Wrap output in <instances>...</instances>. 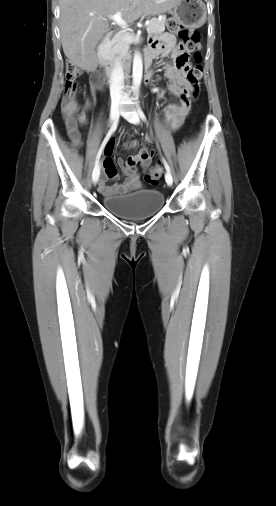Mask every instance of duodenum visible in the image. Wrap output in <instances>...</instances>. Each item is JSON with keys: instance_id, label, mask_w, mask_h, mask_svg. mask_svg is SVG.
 I'll return each instance as SVG.
<instances>
[{"instance_id": "obj_1", "label": "duodenum", "mask_w": 276, "mask_h": 506, "mask_svg": "<svg viewBox=\"0 0 276 506\" xmlns=\"http://www.w3.org/2000/svg\"><path fill=\"white\" fill-rule=\"evenodd\" d=\"M112 37V33H107L102 41V47L104 48L110 41ZM144 62H145V65H146V72H145V78H149L150 77V74H149V69H148V64L150 62V59H149V56L147 54H144ZM101 66L104 68V70L106 71L107 75L108 76H112L115 72V68H116V65H115V62H111V61H108V60H102L101 61ZM145 82H146V79H145ZM147 83V82H146Z\"/></svg>"}]
</instances>
